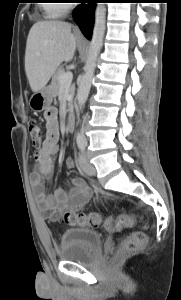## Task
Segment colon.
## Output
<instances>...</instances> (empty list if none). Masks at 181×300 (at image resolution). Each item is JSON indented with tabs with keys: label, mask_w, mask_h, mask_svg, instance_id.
<instances>
[{
	"label": "colon",
	"mask_w": 181,
	"mask_h": 300,
	"mask_svg": "<svg viewBox=\"0 0 181 300\" xmlns=\"http://www.w3.org/2000/svg\"><path fill=\"white\" fill-rule=\"evenodd\" d=\"M28 131L31 142L35 148H40L43 145L46 131L44 127L36 120H30L28 123ZM65 224L74 226H91L97 227L102 223V216L98 212L92 213H66L62 217ZM135 218L132 215H119L117 217H109L105 221V229L109 232L119 231L123 228L133 226ZM146 234L143 231H134L126 236L119 247L118 256L124 257L131 252L139 249L146 243Z\"/></svg>",
	"instance_id": "5ec220e1"
}]
</instances>
